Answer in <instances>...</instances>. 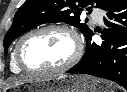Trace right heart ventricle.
<instances>
[{"mask_svg": "<svg viewBox=\"0 0 127 92\" xmlns=\"http://www.w3.org/2000/svg\"><path fill=\"white\" fill-rule=\"evenodd\" d=\"M10 69L13 73H16V74L22 73V70L16 64L14 50L12 51V54H11Z\"/></svg>", "mask_w": 127, "mask_h": 92, "instance_id": "1", "label": "right heart ventricle"}]
</instances>
